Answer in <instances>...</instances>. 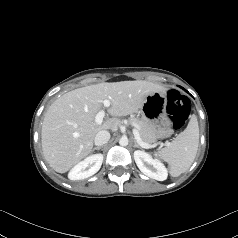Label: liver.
<instances>
[{
  "label": "liver",
  "mask_w": 238,
  "mask_h": 238,
  "mask_svg": "<svg viewBox=\"0 0 238 238\" xmlns=\"http://www.w3.org/2000/svg\"><path fill=\"white\" fill-rule=\"evenodd\" d=\"M163 86L148 81L103 82L72 90L48 108L41 131V144L45 160L58 173H65L93 148L96 134L115 129L117 117L138 112L147 96L165 93ZM108 99V113L113 118L96 124L95 116Z\"/></svg>",
  "instance_id": "1"
}]
</instances>
